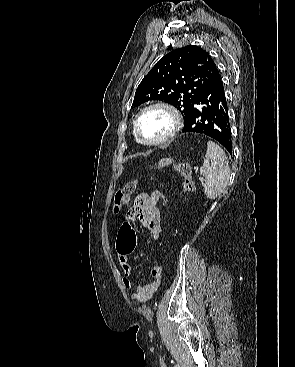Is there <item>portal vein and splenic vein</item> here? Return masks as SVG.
Instances as JSON below:
<instances>
[{"label": "portal vein and splenic vein", "mask_w": 295, "mask_h": 367, "mask_svg": "<svg viewBox=\"0 0 295 367\" xmlns=\"http://www.w3.org/2000/svg\"><path fill=\"white\" fill-rule=\"evenodd\" d=\"M198 179H199L200 182H203L204 181V178L201 177V176Z\"/></svg>", "instance_id": "obj_1"}]
</instances>
